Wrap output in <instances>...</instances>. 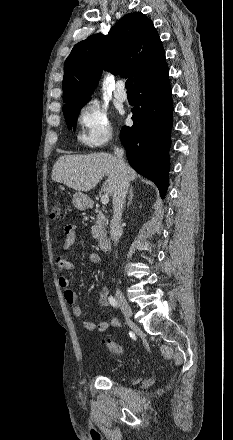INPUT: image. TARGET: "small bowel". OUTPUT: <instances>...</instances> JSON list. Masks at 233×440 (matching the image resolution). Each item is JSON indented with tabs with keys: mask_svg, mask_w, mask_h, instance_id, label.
<instances>
[{
	"mask_svg": "<svg viewBox=\"0 0 233 440\" xmlns=\"http://www.w3.org/2000/svg\"><path fill=\"white\" fill-rule=\"evenodd\" d=\"M77 230L78 227L74 223L66 225L63 230L60 253L56 258V263L60 270L68 272L75 271V265L65 256V253L75 244L77 240ZM90 259L96 264L101 263V259L96 253H91ZM58 285L64 290L63 295L65 302L72 307L74 316L81 317L84 311L82 307L78 305L77 294L70 288L69 278L60 275L58 277ZM99 305L103 308H106L109 305L108 289L105 286H102L99 289ZM83 326L88 331L104 332L110 327H119L120 321L118 318L113 317L110 321H100L98 323L94 321H84Z\"/></svg>",
	"mask_w": 233,
	"mask_h": 440,
	"instance_id": "1",
	"label": "small bowel"
}]
</instances>
